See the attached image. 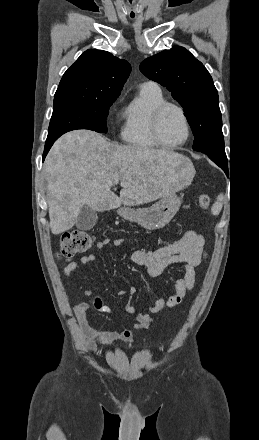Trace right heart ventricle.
Instances as JSON below:
<instances>
[{"instance_id": "e07e8e85", "label": "right heart ventricle", "mask_w": 259, "mask_h": 440, "mask_svg": "<svg viewBox=\"0 0 259 440\" xmlns=\"http://www.w3.org/2000/svg\"><path fill=\"white\" fill-rule=\"evenodd\" d=\"M165 102L161 91L140 89L138 95L124 108L121 139L127 145L144 151L159 146L151 133V121L155 109Z\"/></svg>"}]
</instances>
